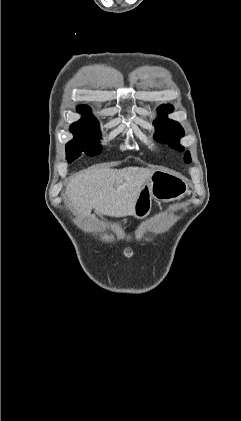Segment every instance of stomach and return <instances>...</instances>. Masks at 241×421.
I'll use <instances>...</instances> for the list:
<instances>
[{"label":"stomach","instance_id":"0dacf381","mask_svg":"<svg viewBox=\"0 0 241 421\" xmlns=\"http://www.w3.org/2000/svg\"><path fill=\"white\" fill-rule=\"evenodd\" d=\"M187 192L188 184L184 178L164 169H155L135 200L133 216L137 219L147 217L151 212L152 199L171 202L183 198Z\"/></svg>","mask_w":241,"mask_h":421}]
</instances>
